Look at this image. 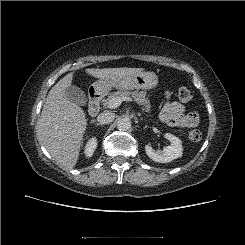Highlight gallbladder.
Returning <instances> with one entry per match:
<instances>
[{
	"instance_id": "obj_1",
	"label": "gallbladder",
	"mask_w": 245,
	"mask_h": 245,
	"mask_svg": "<svg viewBox=\"0 0 245 245\" xmlns=\"http://www.w3.org/2000/svg\"><path fill=\"white\" fill-rule=\"evenodd\" d=\"M65 95L68 98V100L80 106H86L87 104V98L84 91L77 86H68L65 90Z\"/></svg>"
}]
</instances>
